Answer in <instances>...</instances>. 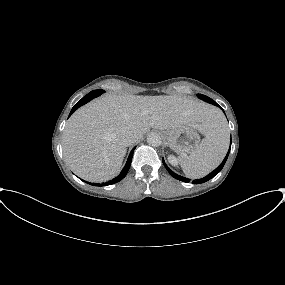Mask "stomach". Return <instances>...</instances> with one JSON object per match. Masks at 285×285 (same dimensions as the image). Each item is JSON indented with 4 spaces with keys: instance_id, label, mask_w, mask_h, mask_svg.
Listing matches in <instances>:
<instances>
[{
    "instance_id": "1",
    "label": "stomach",
    "mask_w": 285,
    "mask_h": 285,
    "mask_svg": "<svg viewBox=\"0 0 285 285\" xmlns=\"http://www.w3.org/2000/svg\"><path fill=\"white\" fill-rule=\"evenodd\" d=\"M169 147L180 155L193 153L200 142L198 132L189 126L164 131Z\"/></svg>"
}]
</instances>
